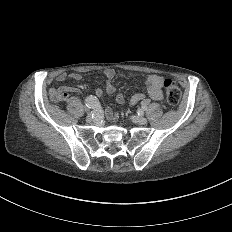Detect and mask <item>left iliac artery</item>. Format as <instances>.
Segmentation results:
<instances>
[{
  "label": "left iliac artery",
  "instance_id": "left-iliac-artery-1",
  "mask_svg": "<svg viewBox=\"0 0 232 232\" xmlns=\"http://www.w3.org/2000/svg\"><path fill=\"white\" fill-rule=\"evenodd\" d=\"M137 115H138L139 117H143V116H144V111H143L142 109H138V110H137Z\"/></svg>",
  "mask_w": 232,
  "mask_h": 232
}]
</instances>
